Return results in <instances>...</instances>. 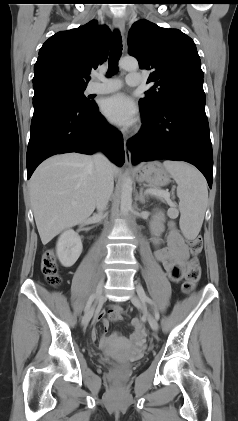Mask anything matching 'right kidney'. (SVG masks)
Here are the masks:
<instances>
[{"instance_id": "obj_1", "label": "right kidney", "mask_w": 238, "mask_h": 421, "mask_svg": "<svg viewBox=\"0 0 238 421\" xmlns=\"http://www.w3.org/2000/svg\"><path fill=\"white\" fill-rule=\"evenodd\" d=\"M82 241L79 235L72 229L64 231L57 241L56 252L60 263L64 267L75 264L82 252Z\"/></svg>"}]
</instances>
